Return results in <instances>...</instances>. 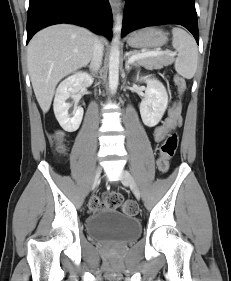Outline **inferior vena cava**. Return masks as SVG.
<instances>
[{"label": "inferior vena cava", "mask_w": 231, "mask_h": 281, "mask_svg": "<svg viewBox=\"0 0 231 281\" xmlns=\"http://www.w3.org/2000/svg\"><path fill=\"white\" fill-rule=\"evenodd\" d=\"M103 57V44L97 39L94 43L93 55L91 60V68L97 72L101 66Z\"/></svg>", "instance_id": "inferior-vena-cava-1"}]
</instances>
